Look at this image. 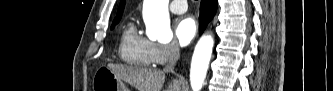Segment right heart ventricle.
<instances>
[{
	"instance_id": "1",
	"label": "right heart ventricle",
	"mask_w": 333,
	"mask_h": 91,
	"mask_svg": "<svg viewBox=\"0 0 333 91\" xmlns=\"http://www.w3.org/2000/svg\"><path fill=\"white\" fill-rule=\"evenodd\" d=\"M119 54L125 63L136 67H150L153 64L151 42L137 31L133 22H127L122 28Z\"/></svg>"
}]
</instances>
